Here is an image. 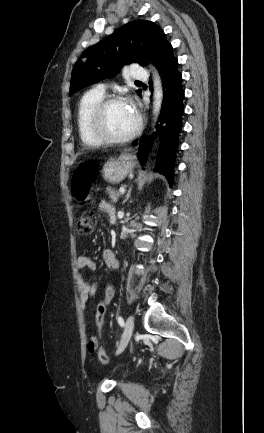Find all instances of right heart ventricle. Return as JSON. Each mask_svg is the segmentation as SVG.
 <instances>
[{
    "label": "right heart ventricle",
    "instance_id": "right-heart-ventricle-1",
    "mask_svg": "<svg viewBox=\"0 0 264 433\" xmlns=\"http://www.w3.org/2000/svg\"><path fill=\"white\" fill-rule=\"evenodd\" d=\"M104 99V94L96 89L86 92L77 107L76 123L80 140L88 146L99 145L100 142L89 130V118L95 106Z\"/></svg>",
    "mask_w": 264,
    "mask_h": 433
}]
</instances>
